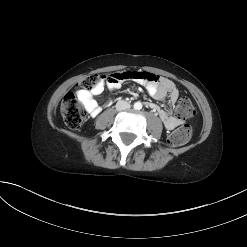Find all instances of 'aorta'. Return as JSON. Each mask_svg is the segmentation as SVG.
<instances>
[{
	"label": "aorta",
	"instance_id": "aorta-1",
	"mask_svg": "<svg viewBox=\"0 0 247 247\" xmlns=\"http://www.w3.org/2000/svg\"><path fill=\"white\" fill-rule=\"evenodd\" d=\"M134 108L139 110V109L142 108V104H141L140 102H136V103L134 104Z\"/></svg>",
	"mask_w": 247,
	"mask_h": 247
}]
</instances>
